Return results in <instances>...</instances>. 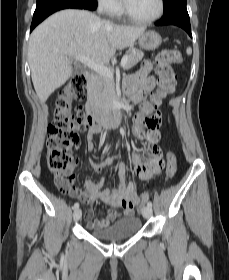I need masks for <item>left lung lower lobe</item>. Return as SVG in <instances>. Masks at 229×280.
Masks as SVG:
<instances>
[{
	"label": "left lung lower lobe",
	"instance_id": "obj_1",
	"mask_svg": "<svg viewBox=\"0 0 229 280\" xmlns=\"http://www.w3.org/2000/svg\"><path fill=\"white\" fill-rule=\"evenodd\" d=\"M156 25H176L183 28L192 37L186 4L178 3L174 9L164 14L163 18L156 22Z\"/></svg>",
	"mask_w": 229,
	"mask_h": 280
}]
</instances>
